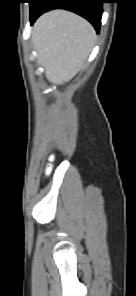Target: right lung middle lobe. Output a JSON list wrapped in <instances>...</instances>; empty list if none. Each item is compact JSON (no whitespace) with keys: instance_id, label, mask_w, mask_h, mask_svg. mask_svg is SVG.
Wrapping results in <instances>:
<instances>
[{"instance_id":"obj_1","label":"right lung middle lobe","mask_w":136,"mask_h":296,"mask_svg":"<svg viewBox=\"0 0 136 296\" xmlns=\"http://www.w3.org/2000/svg\"><path fill=\"white\" fill-rule=\"evenodd\" d=\"M36 1L37 0H30V2H29L30 3V7L33 6Z\"/></svg>"}]
</instances>
